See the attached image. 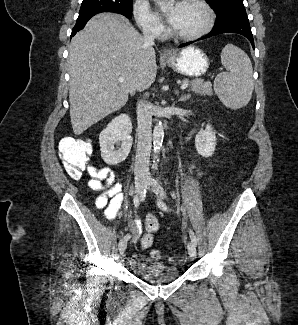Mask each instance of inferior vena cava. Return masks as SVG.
Returning <instances> with one entry per match:
<instances>
[{
    "instance_id": "obj_1",
    "label": "inferior vena cava",
    "mask_w": 298,
    "mask_h": 325,
    "mask_svg": "<svg viewBox=\"0 0 298 325\" xmlns=\"http://www.w3.org/2000/svg\"><path fill=\"white\" fill-rule=\"evenodd\" d=\"M143 36L145 46H153V44H155V36L152 30L143 28ZM136 108L138 142L135 156L134 177L136 181H140V179H148L150 175L149 158L152 142L151 122L153 104L152 102H148V100H138Z\"/></svg>"
}]
</instances>
